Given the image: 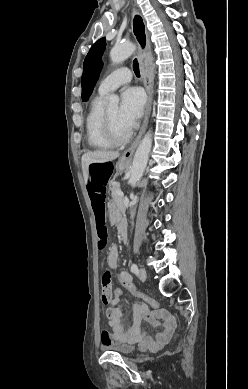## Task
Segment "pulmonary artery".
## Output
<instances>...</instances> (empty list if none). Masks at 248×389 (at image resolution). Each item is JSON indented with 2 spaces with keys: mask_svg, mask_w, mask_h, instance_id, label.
<instances>
[{
  "mask_svg": "<svg viewBox=\"0 0 248 389\" xmlns=\"http://www.w3.org/2000/svg\"><path fill=\"white\" fill-rule=\"evenodd\" d=\"M131 78L132 73L128 68H118L101 81L98 91L102 95H107L119 86L129 82Z\"/></svg>",
  "mask_w": 248,
  "mask_h": 389,
  "instance_id": "e3ab8cb5",
  "label": "pulmonary artery"
}]
</instances>
